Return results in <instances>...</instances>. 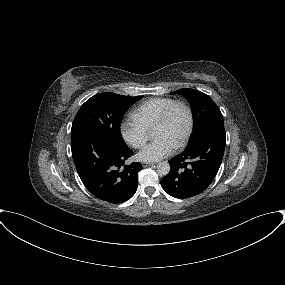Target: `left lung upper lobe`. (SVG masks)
<instances>
[{"label": "left lung upper lobe", "instance_id": "left-lung-upper-lobe-1", "mask_svg": "<svg viewBox=\"0 0 285 285\" xmlns=\"http://www.w3.org/2000/svg\"><path fill=\"white\" fill-rule=\"evenodd\" d=\"M172 94L183 95L191 104L194 115V132L190 143L194 142L195 139L211 124L223 122V116L220 109L208 95L190 88H183Z\"/></svg>", "mask_w": 285, "mask_h": 285}]
</instances>
